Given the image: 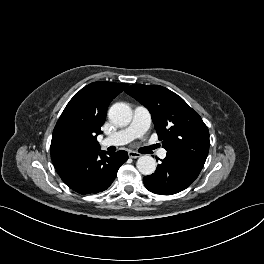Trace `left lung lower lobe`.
Masks as SVG:
<instances>
[{"instance_id":"obj_1","label":"left lung lower lobe","mask_w":264,"mask_h":264,"mask_svg":"<svg viewBox=\"0 0 264 264\" xmlns=\"http://www.w3.org/2000/svg\"><path fill=\"white\" fill-rule=\"evenodd\" d=\"M203 161L180 152H167L155 173L143 178L145 187L155 194L172 195L186 189L198 177Z\"/></svg>"}]
</instances>
